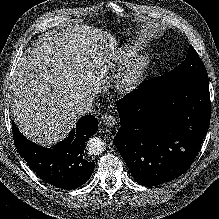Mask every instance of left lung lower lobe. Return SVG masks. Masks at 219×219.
<instances>
[{
    "mask_svg": "<svg viewBox=\"0 0 219 219\" xmlns=\"http://www.w3.org/2000/svg\"><path fill=\"white\" fill-rule=\"evenodd\" d=\"M149 80L118 103L121 127L113 143L135 181L156 186L179 177L194 161L209 128L211 103L208 81L155 89Z\"/></svg>",
    "mask_w": 219,
    "mask_h": 219,
    "instance_id": "0a47b994",
    "label": "left lung lower lobe"
}]
</instances>
